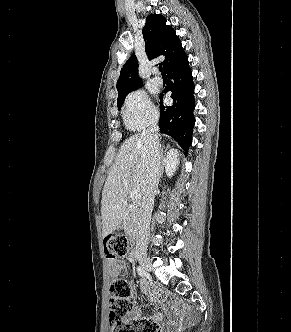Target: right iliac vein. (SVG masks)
Returning a JSON list of instances; mask_svg holds the SVG:
<instances>
[{
    "label": "right iliac vein",
    "instance_id": "63e3f726",
    "mask_svg": "<svg viewBox=\"0 0 291 332\" xmlns=\"http://www.w3.org/2000/svg\"><path fill=\"white\" fill-rule=\"evenodd\" d=\"M138 261L145 271L147 272L151 271V261L149 258L145 256H140L138 257Z\"/></svg>",
    "mask_w": 291,
    "mask_h": 332
}]
</instances>
